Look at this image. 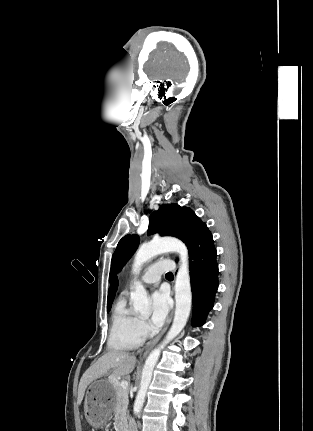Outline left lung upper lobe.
Returning a JSON list of instances; mask_svg holds the SVG:
<instances>
[{
    "mask_svg": "<svg viewBox=\"0 0 313 431\" xmlns=\"http://www.w3.org/2000/svg\"><path fill=\"white\" fill-rule=\"evenodd\" d=\"M207 227L193 210L178 204H164L150 215L148 234L160 233L181 239L189 252L202 230ZM139 244L137 235H126L118 243L112 256V274L118 273L136 251Z\"/></svg>",
    "mask_w": 313,
    "mask_h": 431,
    "instance_id": "left-lung-upper-lobe-1",
    "label": "left lung upper lobe"
}]
</instances>
